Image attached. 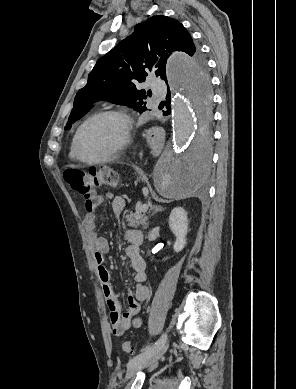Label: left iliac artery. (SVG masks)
Segmentation results:
<instances>
[{"instance_id": "obj_1", "label": "left iliac artery", "mask_w": 296, "mask_h": 389, "mask_svg": "<svg viewBox=\"0 0 296 389\" xmlns=\"http://www.w3.org/2000/svg\"><path fill=\"white\" fill-rule=\"evenodd\" d=\"M167 339V335L163 334L152 346L146 347L139 355L135 356L134 358L130 359L127 367H131L141 360L151 356L159 346H161Z\"/></svg>"}]
</instances>
